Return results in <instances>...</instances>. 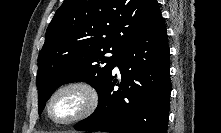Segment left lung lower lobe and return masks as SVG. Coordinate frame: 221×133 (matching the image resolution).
Wrapping results in <instances>:
<instances>
[{"label":"left lung lower lobe","instance_id":"0a47b994","mask_svg":"<svg viewBox=\"0 0 221 133\" xmlns=\"http://www.w3.org/2000/svg\"><path fill=\"white\" fill-rule=\"evenodd\" d=\"M169 46L163 18L126 44L112 75L99 92V104L88 118L74 125L80 131L167 133L171 93Z\"/></svg>","mask_w":221,"mask_h":133}]
</instances>
